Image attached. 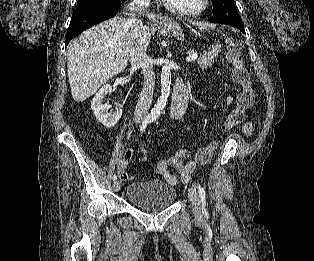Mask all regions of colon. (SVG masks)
Masks as SVG:
<instances>
[{"mask_svg": "<svg viewBox=\"0 0 314 261\" xmlns=\"http://www.w3.org/2000/svg\"><path fill=\"white\" fill-rule=\"evenodd\" d=\"M241 46L236 40L228 41V60L233 66V76L241 89L236 98V107L231 111L225 123L224 130L229 131L240 123L244 113L250 109L255 101L254 89L249 70L240 58ZM217 147L216 143H210L199 149L191 161V166L204 165L211 159Z\"/></svg>", "mask_w": 314, "mask_h": 261, "instance_id": "5ec220e1", "label": "colon"}]
</instances>
